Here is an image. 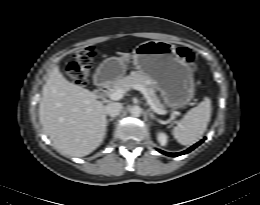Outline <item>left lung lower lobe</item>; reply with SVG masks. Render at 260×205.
Masks as SVG:
<instances>
[{
  "label": "left lung lower lobe",
  "mask_w": 260,
  "mask_h": 205,
  "mask_svg": "<svg viewBox=\"0 0 260 205\" xmlns=\"http://www.w3.org/2000/svg\"><path fill=\"white\" fill-rule=\"evenodd\" d=\"M203 142V140H201L200 142H198L197 144L193 145L192 147H190L189 149L183 151V152H179V153H168V152H164L161 150H158L159 152L167 155V156H171V157H176V156H180L183 154H187L188 152H190L191 150H193L194 148H196L198 145H200Z\"/></svg>",
  "instance_id": "1"
}]
</instances>
